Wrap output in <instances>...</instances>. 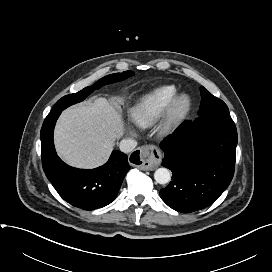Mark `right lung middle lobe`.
<instances>
[{
    "mask_svg": "<svg viewBox=\"0 0 272 272\" xmlns=\"http://www.w3.org/2000/svg\"><path fill=\"white\" fill-rule=\"evenodd\" d=\"M132 75H133L132 71H125L123 73H115V74L107 75V76L103 77L102 79H100L98 82H96L93 86L86 87L77 93L69 94V95L62 97L54 105L51 112L64 110L65 108L69 107L72 104L81 102L91 92L101 88L103 85L118 82L121 80H125L126 78L131 77Z\"/></svg>",
    "mask_w": 272,
    "mask_h": 272,
    "instance_id": "obj_1",
    "label": "right lung middle lobe"
}]
</instances>
